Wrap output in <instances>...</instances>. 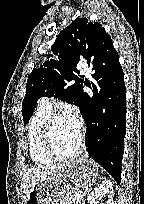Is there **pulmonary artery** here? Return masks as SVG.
<instances>
[{"label": "pulmonary artery", "mask_w": 144, "mask_h": 204, "mask_svg": "<svg viewBox=\"0 0 144 204\" xmlns=\"http://www.w3.org/2000/svg\"><path fill=\"white\" fill-rule=\"evenodd\" d=\"M83 73H89L88 69L87 68H83L81 70ZM40 105L43 106V107H46L48 109H51L52 108V103H51V100L48 98V97H42L40 99Z\"/></svg>", "instance_id": "e3ab8cb5"}]
</instances>
